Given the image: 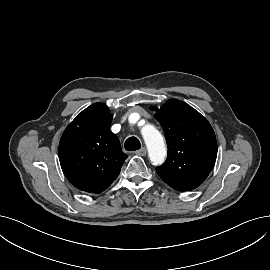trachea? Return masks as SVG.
<instances>
[{"label":"trachea","instance_id":"trachea-1","mask_svg":"<svg viewBox=\"0 0 270 270\" xmlns=\"http://www.w3.org/2000/svg\"><path fill=\"white\" fill-rule=\"evenodd\" d=\"M141 148L140 141L136 137H129L125 141V149L127 151H135Z\"/></svg>","mask_w":270,"mask_h":270}]
</instances>
